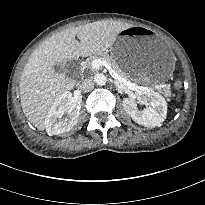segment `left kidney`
Segmentation results:
<instances>
[{
	"mask_svg": "<svg viewBox=\"0 0 205 205\" xmlns=\"http://www.w3.org/2000/svg\"><path fill=\"white\" fill-rule=\"evenodd\" d=\"M137 101L149 107L140 111ZM123 107L139 125L155 127L160 125L167 115V103L162 95L145 87L136 90L134 98H124Z\"/></svg>",
	"mask_w": 205,
	"mask_h": 205,
	"instance_id": "obj_1",
	"label": "left kidney"
}]
</instances>
